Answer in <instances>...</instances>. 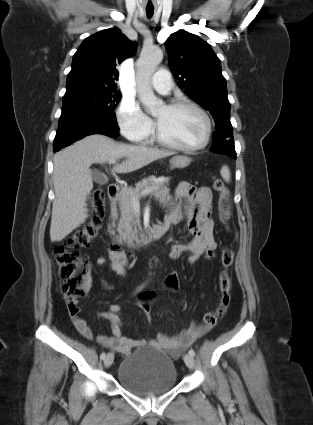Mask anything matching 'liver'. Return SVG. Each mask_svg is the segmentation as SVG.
<instances>
[{
    "label": "liver",
    "instance_id": "6515ba94",
    "mask_svg": "<svg viewBox=\"0 0 313 425\" xmlns=\"http://www.w3.org/2000/svg\"><path fill=\"white\" fill-rule=\"evenodd\" d=\"M174 152L145 146L116 143L100 135H89L54 155L53 184L55 199L52 205L50 239L60 242L88 218L86 199L93 189V163L125 158L114 167L117 173L136 171Z\"/></svg>",
    "mask_w": 313,
    "mask_h": 425
}]
</instances>
